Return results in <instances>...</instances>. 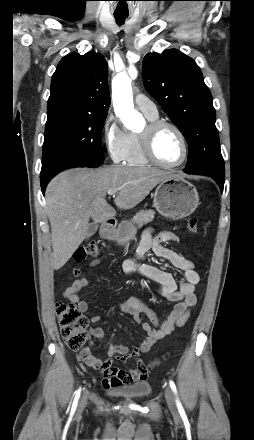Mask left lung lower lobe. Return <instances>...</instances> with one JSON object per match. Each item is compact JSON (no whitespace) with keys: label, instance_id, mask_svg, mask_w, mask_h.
Listing matches in <instances>:
<instances>
[{"label":"left lung lower lobe","instance_id":"left-lung-lower-lobe-1","mask_svg":"<svg viewBox=\"0 0 254 440\" xmlns=\"http://www.w3.org/2000/svg\"><path fill=\"white\" fill-rule=\"evenodd\" d=\"M188 174H190V173H188ZM205 175L212 177L219 184L221 190H223V187H224V177L223 176L214 175L212 173H208Z\"/></svg>","mask_w":254,"mask_h":440}]
</instances>
